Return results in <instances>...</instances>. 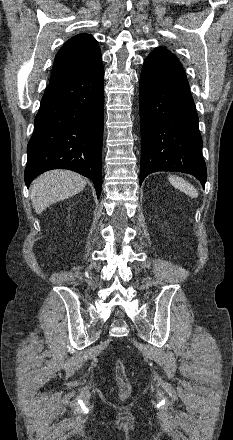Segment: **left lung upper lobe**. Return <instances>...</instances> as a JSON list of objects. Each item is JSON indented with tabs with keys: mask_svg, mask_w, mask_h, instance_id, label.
Instances as JSON below:
<instances>
[{
	"mask_svg": "<svg viewBox=\"0 0 233 440\" xmlns=\"http://www.w3.org/2000/svg\"><path fill=\"white\" fill-rule=\"evenodd\" d=\"M154 51H164V52L171 53L170 51H168L167 49L162 48V47L156 48Z\"/></svg>",
	"mask_w": 233,
	"mask_h": 440,
	"instance_id": "left-lung-upper-lobe-1",
	"label": "left lung upper lobe"
}]
</instances>
